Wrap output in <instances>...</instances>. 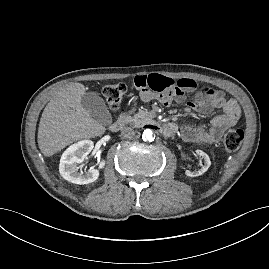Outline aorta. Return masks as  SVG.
I'll return each mask as SVG.
<instances>
[{"instance_id":"obj_1","label":"aorta","mask_w":269,"mask_h":269,"mask_svg":"<svg viewBox=\"0 0 269 269\" xmlns=\"http://www.w3.org/2000/svg\"><path fill=\"white\" fill-rule=\"evenodd\" d=\"M142 139L144 141L152 142L154 140L153 131L151 129H145L142 134Z\"/></svg>"}]
</instances>
